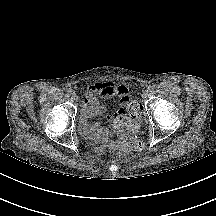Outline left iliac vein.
<instances>
[{
	"instance_id": "obj_1",
	"label": "left iliac vein",
	"mask_w": 216,
	"mask_h": 216,
	"mask_svg": "<svg viewBox=\"0 0 216 216\" xmlns=\"http://www.w3.org/2000/svg\"><path fill=\"white\" fill-rule=\"evenodd\" d=\"M149 96V91L148 90H144L142 93V97L145 99Z\"/></svg>"
}]
</instances>
